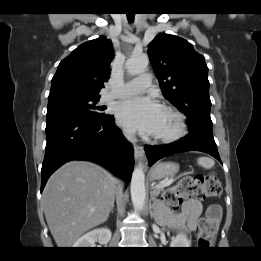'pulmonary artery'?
I'll list each match as a JSON object with an SVG mask.
<instances>
[{"mask_svg":"<svg viewBox=\"0 0 261 261\" xmlns=\"http://www.w3.org/2000/svg\"><path fill=\"white\" fill-rule=\"evenodd\" d=\"M151 87V75L150 74H140L133 78L129 82L125 83L119 89H112L107 92L104 99L111 100L122 97H131L136 94L145 92Z\"/></svg>","mask_w":261,"mask_h":261,"instance_id":"obj_1","label":"pulmonary artery"}]
</instances>
